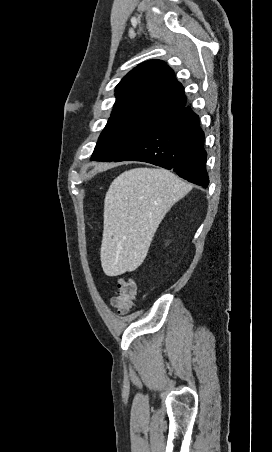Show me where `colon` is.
I'll list each match as a JSON object with an SVG mask.
<instances>
[{"mask_svg":"<svg viewBox=\"0 0 272 452\" xmlns=\"http://www.w3.org/2000/svg\"><path fill=\"white\" fill-rule=\"evenodd\" d=\"M136 296V282L132 278H119L116 294L111 298V305L120 314H127L133 308Z\"/></svg>","mask_w":272,"mask_h":452,"instance_id":"1","label":"colon"}]
</instances>
